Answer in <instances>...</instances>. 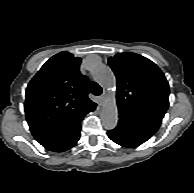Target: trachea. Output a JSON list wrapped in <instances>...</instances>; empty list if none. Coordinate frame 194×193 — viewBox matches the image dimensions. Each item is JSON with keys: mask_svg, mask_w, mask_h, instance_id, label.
I'll return each mask as SVG.
<instances>
[{"mask_svg": "<svg viewBox=\"0 0 194 193\" xmlns=\"http://www.w3.org/2000/svg\"><path fill=\"white\" fill-rule=\"evenodd\" d=\"M90 91L92 94L99 96L102 93V88L94 81L90 82Z\"/></svg>", "mask_w": 194, "mask_h": 193, "instance_id": "trachea-1", "label": "trachea"}]
</instances>
